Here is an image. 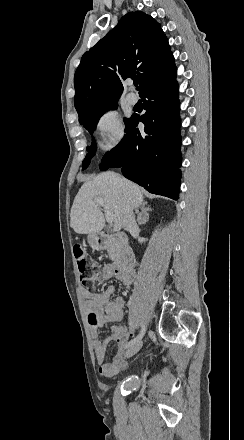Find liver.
<instances>
[{
  "instance_id": "liver-1",
  "label": "liver",
  "mask_w": 244,
  "mask_h": 440,
  "mask_svg": "<svg viewBox=\"0 0 244 440\" xmlns=\"http://www.w3.org/2000/svg\"><path fill=\"white\" fill-rule=\"evenodd\" d=\"M105 200L107 210L112 212L114 230L123 228V216L127 206L139 208L144 196L139 186L120 178L115 172H102L81 186L70 212V226L76 234H98L105 226L104 214L95 200Z\"/></svg>"
}]
</instances>
